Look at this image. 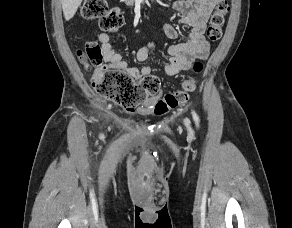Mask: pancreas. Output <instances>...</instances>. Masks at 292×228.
<instances>
[{"label":"pancreas","mask_w":292,"mask_h":228,"mask_svg":"<svg viewBox=\"0 0 292 228\" xmlns=\"http://www.w3.org/2000/svg\"><path fill=\"white\" fill-rule=\"evenodd\" d=\"M122 1H125V2H127L129 4H132L133 3V0H122Z\"/></svg>","instance_id":"1"}]
</instances>
